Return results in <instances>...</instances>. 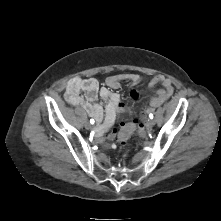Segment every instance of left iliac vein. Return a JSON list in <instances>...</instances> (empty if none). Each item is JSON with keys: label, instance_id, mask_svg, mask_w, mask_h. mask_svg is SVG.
Instances as JSON below:
<instances>
[{"label": "left iliac vein", "instance_id": "left-iliac-vein-1", "mask_svg": "<svg viewBox=\"0 0 221 221\" xmlns=\"http://www.w3.org/2000/svg\"><path fill=\"white\" fill-rule=\"evenodd\" d=\"M154 125H155V120L154 119L148 120V123H147L148 127H153Z\"/></svg>", "mask_w": 221, "mask_h": 221}]
</instances>
